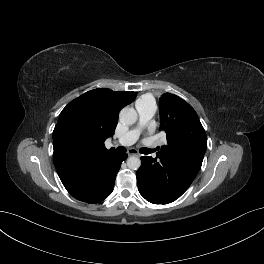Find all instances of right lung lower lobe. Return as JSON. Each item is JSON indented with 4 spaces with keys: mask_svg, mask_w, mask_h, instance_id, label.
Segmentation results:
<instances>
[{
    "mask_svg": "<svg viewBox=\"0 0 264 264\" xmlns=\"http://www.w3.org/2000/svg\"><path fill=\"white\" fill-rule=\"evenodd\" d=\"M126 158L127 154L117 152L108 157L94 176L96 186L93 192L87 196L74 197L87 203H98L106 199L113 191L116 175Z\"/></svg>",
    "mask_w": 264,
    "mask_h": 264,
    "instance_id": "right-lung-lower-lobe-1",
    "label": "right lung lower lobe"
}]
</instances>
